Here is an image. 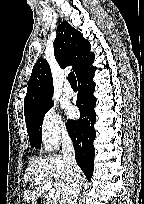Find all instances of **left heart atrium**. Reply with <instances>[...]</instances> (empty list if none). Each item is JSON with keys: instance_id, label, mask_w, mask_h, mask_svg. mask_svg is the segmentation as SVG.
<instances>
[{"instance_id": "1", "label": "left heart atrium", "mask_w": 144, "mask_h": 204, "mask_svg": "<svg viewBox=\"0 0 144 204\" xmlns=\"http://www.w3.org/2000/svg\"><path fill=\"white\" fill-rule=\"evenodd\" d=\"M69 115H70L71 117L75 116V115H76V110H75L74 108H70V109H69Z\"/></svg>"}]
</instances>
